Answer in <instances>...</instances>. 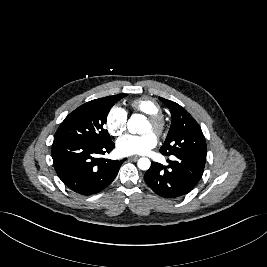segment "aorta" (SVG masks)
Instances as JSON below:
<instances>
[{"label": "aorta", "mask_w": 267, "mask_h": 267, "mask_svg": "<svg viewBox=\"0 0 267 267\" xmlns=\"http://www.w3.org/2000/svg\"><path fill=\"white\" fill-rule=\"evenodd\" d=\"M145 121V118L140 114H133L128 120L127 126L130 133H142L141 124ZM138 168L141 170H148L151 166V162L148 158H140L137 162Z\"/></svg>", "instance_id": "1"}]
</instances>
